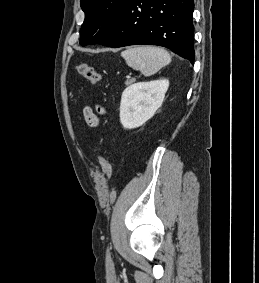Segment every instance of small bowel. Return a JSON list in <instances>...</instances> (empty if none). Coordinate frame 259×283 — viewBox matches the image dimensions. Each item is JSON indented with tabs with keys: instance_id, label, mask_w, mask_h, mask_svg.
I'll list each match as a JSON object with an SVG mask.
<instances>
[{
	"instance_id": "1",
	"label": "small bowel",
	"mask_w": 259,
	"mask_h": 283,
	"mask_svg": "<svg viewBox=\"0 0 259 283\" xmlns=\"http://www.w3.org/2000/svg\"><path fill=\"white\" fill-rule=\"evenodd\" d=\"M105 113L104 108L97 107L96 111H93L91 108L87 107L84 109V119L86 123L91 127H96L99 124V116Z\"/></svg>"
}]
</instances>
